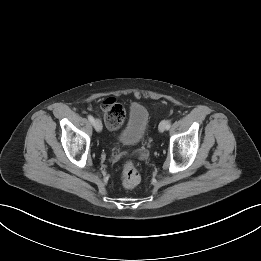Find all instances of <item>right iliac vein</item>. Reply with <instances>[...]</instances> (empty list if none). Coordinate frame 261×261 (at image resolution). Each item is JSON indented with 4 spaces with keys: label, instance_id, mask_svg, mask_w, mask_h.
Masks as SVG:
<instances>
[{
    "label": "right iliac vein",
    "instance_id": "63e3f726",
    "mask_svg": "<svg viewBox=\"0 0 261 261\" xmlns=\"http://www.w3.org/2000/svg\"><path fill=\"white\" fill-rule=\"evenodd\" d=\"M102 123H101V121L99 120V119H96L95 121H94V128H95V130L96 131H98V132H100L101 130H102Z\"/></svg>",
    "mask_w": 261,
    "mask_h": 261
}]
</instances>
